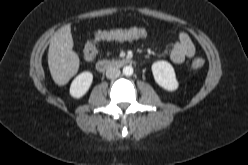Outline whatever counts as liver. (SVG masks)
Returning a JSON list of instances; mask_svg holds the SVG:
<instances>
[{
	"mask_svg": "<svg viewBox=\"0 0 248 165\" xmlns=\"http://www.w3.org/2000/svg\"><path fill=\"white\" fill-rule=\"evenodd\" d=\"M72 48L71 26L67 24L55 32L48 50L49 70L54 82L60 86L67 84L79 69V57Z\"/></svg>",
	"mask_w": 248,
	"mask_h": 165,
	"instance_id": "6515ba94",
	"label": "liver"
}]
</instances>
